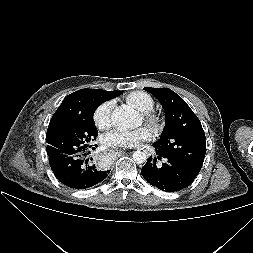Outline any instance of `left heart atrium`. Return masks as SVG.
<instances>
[{"label": "left heart atrium", "instance_id": "left-heart-atrium-1", "mask_svg": "<svg viewBox=\"0 0 253 253\" xmlns=\"http://www.w3.org/2000/svg\"><path fill=\"white\" fill-rule=\"evenodd\" d=\"M152 130L147 126H141L132 130L114 129L105 133L102 144L106 147H135L140 143L151 140Z\"/></svg>", "mask_w": 253, "mask_h": 253}]
</instances>
